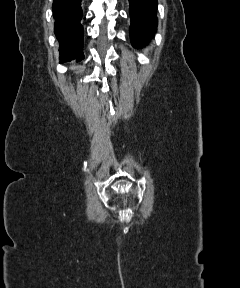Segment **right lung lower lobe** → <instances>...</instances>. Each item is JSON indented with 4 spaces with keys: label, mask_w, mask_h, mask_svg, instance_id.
<instances>
[{
    "label": "right lung lower lobe",
    "mask_w": 240,
    "mask_h": 288,
    "mask_svg": "<svg viewBox=\"0 0 240 288\" xmlns=\"http://www.w3.org/2000/svg\"><path fill=\"white\" fill-rule=\"evenodd\" d=\"M81 0H54L55 35L60 42L61 62L83 59Z\"/></svg>",
    "instance_id": "right-lung-lower-lobe-1"
}]
</instances>
